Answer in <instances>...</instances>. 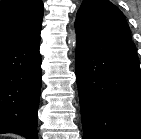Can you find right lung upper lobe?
<instances>
[{
	"mask_svg": "<svg viewBox=\"0 0 141 139\" xmlns=\"http://www.w3.org/2000/svg\"><path fill=\"white\" fill-rule=\"evenodd\" d=\"M43 7L41 0H2L0 2V49L39 36Z\"/></svg>",
	"mask_w": 141,
	"mask_h": 139,
	"instance_id": "cb5924a9",
	"label": "right lung upper lobe"
}]
</instances>
